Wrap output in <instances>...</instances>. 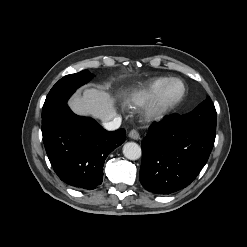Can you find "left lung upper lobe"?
<instances>
[{
    "label": "left lung upper lobe",
    "mask_w": 247,
    "mask_h": 247,
    "mask_svg": "<svg viewBox=\"0 0 247 247\" xmlns=\"http://www.w3.org/2000/svg\"><path fill=\"white\" fill-rule=\"evenodd\" d=\"M185 125L216 131V110L210 97H207L192 112L183 115Z\"/></svg>",
    "instance_id": "1"
}]
</instances>
